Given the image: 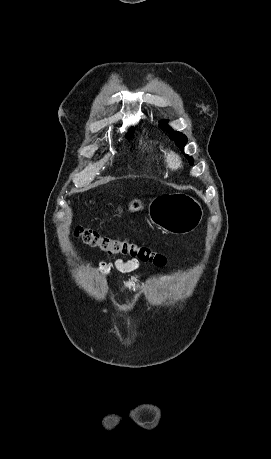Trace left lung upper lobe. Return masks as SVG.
I'll return each instance as SVG.
<instances>
[{
  "mask_svg": "<svg viewBox=\"0 0 271 459\" xmlns=\"http://www.w3.org/2000/svg\"><path fill=\"white\" fill-rule=\"evenodd\" d=\"M160 127L163 130L170 133V138L176 142V144L180 147L181 151L183 152V148L187 142V137L180 132L172 131V129L164 121L160 122ZM185 156L188 158L190 165H192L193 158L188 155H185Z\"/></svg>",
  "mask_w": 271,
  "mask_h": 459,
  "instance_id": "left-lung-upper-lobe-1",
  "label": "left lung upper lobe"
}]
</instances>
